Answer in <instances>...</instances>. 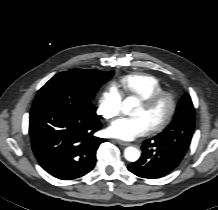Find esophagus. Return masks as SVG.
I'll list each match as a JSON object with an SVG mask.
<instances>
[{
	"instance_id": "34e87169",
	"label": "esophagus",
	"mask_w": 218,
	"mask_h": 210,
	"mask_svg": "<svg viewBox=\"0 0 218 210\" xmlns=\"http://www.w3.org/2000/svg\"><path fill=\"white\" fill-rule=\"evenodd\" d=\"M116 143H118L119 145L122 146H129L130 143L129 142H125V141H121V140H115Z\"/></svg>"
}]
</instances>
